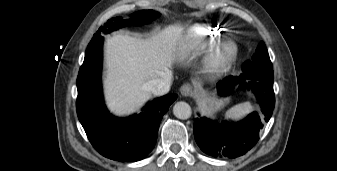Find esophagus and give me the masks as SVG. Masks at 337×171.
I'll list each match as a JSON object with an SVG mask.
<instances>
[{
    "instance_id": "esophagus-1",
    "label": "esophagus",
    "mask_w": 337,
    "mask_h": 171,
    "mask_svg": "<svg viewBox=\"0 0 337 171\" xmlns=\"http://www.w3.org/2000/svg\"><path fill=\"white\" fill-rule=\"evenodd\" d=\"M180 93L182 96H185V97L191 96L193 94L192 85L189 83L183 84L180 88Z\"/></svg>"
}]
</instances>
